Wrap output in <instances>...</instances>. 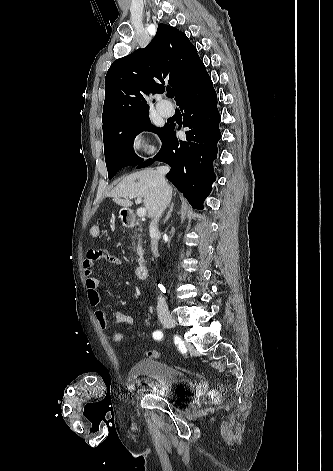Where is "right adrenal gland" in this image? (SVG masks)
<instances>
[{
	"label": "right adrenal gland",
	"mask_w": 333,
	"mask_h": 471,
	"mask_svg": "<svg viewBox=\"0 0 333 471\" xmlns=\"http://www.w3.org/2000/svg\"><path fill=\"white\" fill-rule=\"evenodd\" d=\"M173 207H174V203H171L170 208H169V211L167 212V215H166V217H165V219H164V221H163L164 223L167 222V220L171 217V213H172V211H173Z\"/></svg>",
	"instance_id": "1"
}]
</instances>
